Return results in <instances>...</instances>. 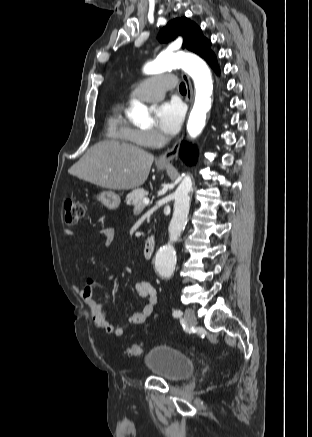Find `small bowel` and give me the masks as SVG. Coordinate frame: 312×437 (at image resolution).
I'll return each instance as SVG.
<instances>
[{"instance_id":"small-bowel-1","label":"small bowel","mask_w":312,"mask_h":437,"mask_svg":"<svg viewBox=\"0 0 312 437\" xmlns=\"http://www.w3.org/2000/svg\"><path fill=\"white\" fill-rule=\"evenodd\" d=\"M100 235L105 239V245L108 247L115 239V230L112 227H106L99 231ZM74 233L67 230L64 235L72 236ZM100 286L92 277L85 279L84 285L81 288H76L78 295L83 303L88 307L95 327L107 334L122 336L127 327L131 325L144 324L153 314L158 302V295L153 285L148 281H140L136 284V292L140 298L146 300L141 312L130 314L126 319L125 327H118L108 321V310L103 302H97L93 298V293Z\"/></svg>"}]
</instances>
